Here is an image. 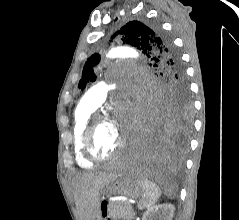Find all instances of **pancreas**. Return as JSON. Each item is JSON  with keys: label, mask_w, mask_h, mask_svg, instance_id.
Returning <instances> with one entry per match:
<instances>
[{"label": "pancreas", "mask_w": 239, "mask_h": 220, "mask_svg": "<svg viewBox=\"0 0 239 220\" xmlns=\"http://www.w3.org/2000/svg\"><path fill=\"white\" fill-rule=\"evenodd\" d=\"M108 215L114 220H132L135 217L132 206L124 201H114L109 203Z\"/></svg>", "instance_id": "1"}]
</instances>
